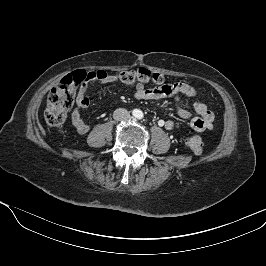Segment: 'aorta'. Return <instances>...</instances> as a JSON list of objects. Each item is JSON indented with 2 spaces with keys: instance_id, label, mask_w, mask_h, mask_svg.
Wrapping results in <instances>:
<instances>
[{
  "instance_id": "obj_1",
  "label": "aorta",
  "mask_w": 266,
  "mask_h": 266,
  "mask_svg": "<svg viewBox=\"0 0 266 266\" xmlns=\"http://www.w3.org/2000/svg\"><path fill=\"white\" fill-rule=\"evenodd\" d=\"M133 115L135 118L141 119L143 117V112L141 110H135Z\"/></svg>"
}]
</instances>
